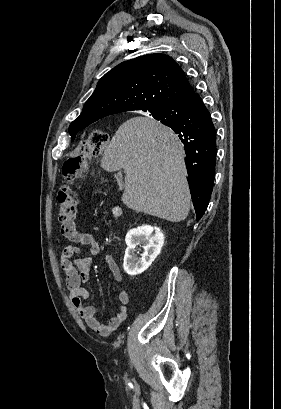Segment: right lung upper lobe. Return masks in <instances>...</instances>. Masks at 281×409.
<instances>
[{
	"label": "right lung upper lobe",
	"mask_w": 281,
	"mask_h": 409,
	"mask_svg": "<svg viewBox=\"0 0 281 409\" xmlns=\"http://www.w3.org/2000/svg\"><path fill=\"white\" fill-rule=\"evenodd\" d=\"M194 93L183 70L169 56L149 54L125 61L106 73L70 127L85 128L108 115L152 111Z\"/></svg>",
	"instance_id": "cb5924a9"
}]
</instances>
